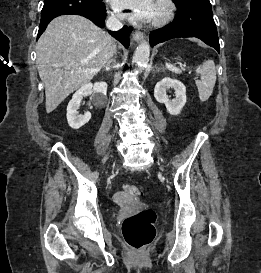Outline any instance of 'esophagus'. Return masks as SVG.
Listing matches in <instances>:
<instances>
[{
  "mask_svg": "<svg viewBox=\"0 0 261 273\" xmlns=\"http://www.w3.org/2000/svg\"><path fill=\"white\" fill-rule=\"evenodd\" d=\"M133 39L136 41V42H141L145 39V35L142 31H139V30H136L134 33H133Z\"/></svg>",
  "mask_w": 261,
  "mask_h": 273,
  "instance_id": "esophagus-1",
  "label": "esophagus"
}]
</instances>
